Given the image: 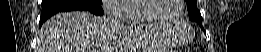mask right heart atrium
I'll return each instance as SVG.
<instances>
[{
  "label": "right heart atrium",
  "mask_w": 261,
  "mask_h": 52,
  "mask_svg": "<svg viewBox=\"0 0 261 52\" xmlns=\"http://www.w3.org/2000/svg\"><path fill=\"white\" fill-rule=\"evenodd\" d=\"M125 2V0H103L101 7L108 16L123 18L126 17V11L121 9V6Z\"/></svg>",
  "instance_id": "obj_1"
}]
</instances>
